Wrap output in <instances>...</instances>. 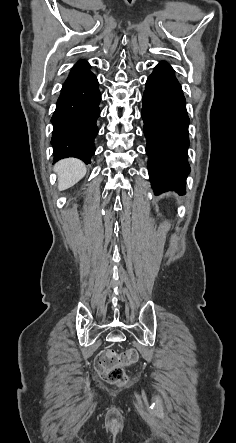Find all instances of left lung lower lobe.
Wrapping results in <instances>:
<instances>
[{"mask_svg": "<svg viewBox=\"0 0 236 443\" xmlns=\"http://www.w3.org/2000/svg\"><path fill=\"white\" fill-rule=\"evenodd\" d=\"M142 118L147 139L148 170L156 194L173 190L186 193L190 172L189 117L185 97L173 68L159 63L146 82Z\"/></svg>", "mask_w": 236, "mask_h": 443, "instance_id": "obj_1", "label": "left lung lower lobe"}]
</instances>
